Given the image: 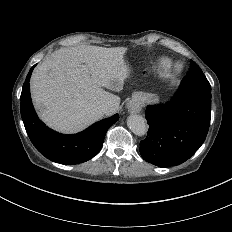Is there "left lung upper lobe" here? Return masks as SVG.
<instances>
[{
  "label": "left lung upper lobe",
  "instance_id": "1",
  "mask_svg": "<svg viewBox=\"0 0 232 232\" xmlns=\"http://www.w3.org/2000/svg\"><path fill=\"white\" fill-rule=\"evenodd\" d=\"M184 92L197 95L206 102H211V86L200 67L190 61V69L180 85Z\"/></svg>",
  "mask_w": 232,
  "mask_h": 232
}]
</instances>
